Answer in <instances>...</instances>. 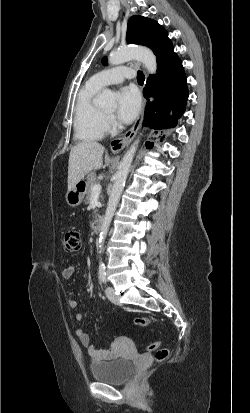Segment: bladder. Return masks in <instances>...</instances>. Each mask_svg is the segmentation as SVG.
Returning a JSON list of instances; mask_svg holds the SVG:
<instances>
[{
  "label": "bladder",
  "instance_id": "bladder-1",
  "mask_svg": "<svg viewBox=\"0 0 250 413\" xmlns=\"http://www.w3.org/2000/svg\"><path fill=\"white\" fill-rule=\"evenodd\" d=\"M92 377L96 381L109 384H123L134 372V363L128 358L94 362L90 366Z\"/></svg>",
  "mask_w": 250,
  "mask_h": 413
}]
</instances>
